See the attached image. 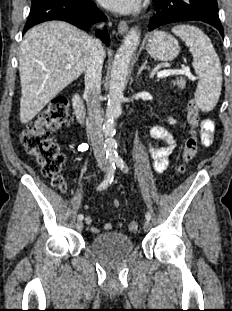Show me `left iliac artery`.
Instances as JSON below:
<instances>
[{
  "label": "left iliac artery",
  "mask_w": 232,
  "mask_h": 311,
  "mask_svg": "<svg viewBox=\"0 0 232 311\" xmlns=\"http://www.w3.org/2000/svg\"><path fill=\"white\" fill-rule=\"evenodd\" d=\"M116 165L124 172H128V168H127V165L124 163V161L122 160V158L120 157H116L114 159ZM146 219L147 220H150L151 219V214L149 212L146 213L145 215Z\"/></svg>",
  "instance_id": "obj_1"
}]
</instances>
